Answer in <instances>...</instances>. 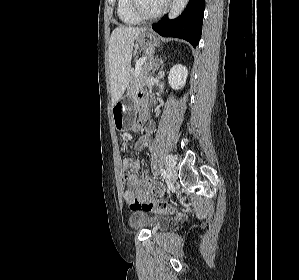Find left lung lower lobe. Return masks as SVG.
Masks as SVG:
<instances>
[{
    "mask_svg": "<svg viewBox=\"0 0 299 280\" xmlns=\"http://www.w3.org/2000/svg\"><path fill=\"white\" fill-rule=\"evenodd\" d=\"M205 0H189L184 12L176 19L165 16L152 28L164 37H178L187 40L194 47L199 43L202 33Z\"/></svg>",
    "mask_w": 299,
    "mask_h": 280,
    "instance_id": "obj_1",
    "label": "left lung lower lobe"
}]
</instances>
